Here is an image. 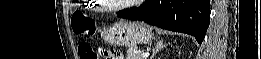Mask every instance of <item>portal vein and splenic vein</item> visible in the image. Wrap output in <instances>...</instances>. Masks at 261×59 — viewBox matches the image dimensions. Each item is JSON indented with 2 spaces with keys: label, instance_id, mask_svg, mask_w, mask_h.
Wrapping results in <instances>:
<instances>
[{
  "label": "portal vein and splenic vein",
  "instance_id": "portal-vein-and-splenic-vein-1",
  "mask_svg": "<svg viewBox=\"0 0 261 59\" xmlns=\"http://www.w3.org/2000/svg\"><path fill=\"white\" fill-rule=\"evenodd\" d=\"M141 56H142L143 58H146V57L149 56V52H143V53H141Z\"/></svg>",
  "mask_w": 261,
  "mask_h": 59
}]
</instances>
